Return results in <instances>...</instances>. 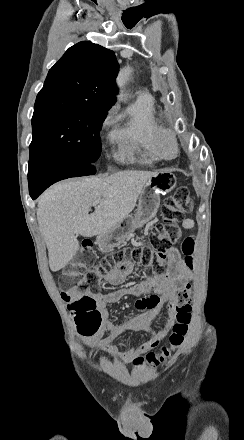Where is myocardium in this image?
I'll use <instances>...</instances> for the list:
<instances>
[{
    "mask_svg": "<svg viewBox=\"0 0 244 440\" xmlns=\"http://www.w3.org/2000/svg\"><path fill=\"white\" fill-rule=\"evenodd\" d=\"M120 135L122 134L120 133ZM159 135L160 138L156 139L157 143L155 144L158 147L159 155L166 160L174 159L178 154L177 135L169 130H162Z\"/></svg>",
    "mask_w": 244,
    "mask_h": 440,
    "instance_id": "myocardium-1",
    "label": "myocardium"
}]
</instances>
